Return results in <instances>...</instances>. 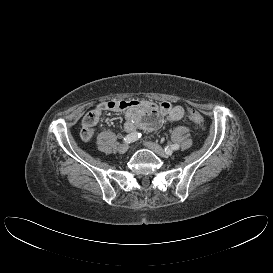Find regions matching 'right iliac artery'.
I'll return each instance as SVG.
<instances>
[{
  "instance_id": "1",
  "label": "right iliac artery",
  "mask_w": 273,
  "mask_h": 273,
  "mask_svg": "<svg viewBox=\"0 0 273 273\" xmlns=\"http://www.w3.org/2000/svg\"><path fill=\"white\" fill-rule=\"evenodd\" d=\"M140 137H141V133H139V132H133L131 134H128L123 139V141L128 144V143H132V142L137 141Z\"/></svg>"
}]
</instances>
